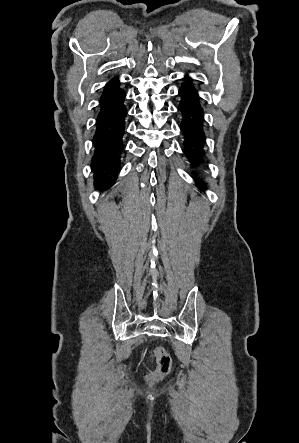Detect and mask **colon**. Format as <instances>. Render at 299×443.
I'll return each mask as SVG.
<instances>
[{
    "instance_id": "colon-1",
    "label": "colon",
    "mask_w": 299,
    "mask_h": 443,
    "mask_svg": "<svg viewBox=\"0 0 299 443\" xmlns=\"http://www.w3.org/2000/svg\"><path fill=\"white\" fill-rule=\"evenodd\" d=\"M153 357L156 360L157 367L147 376L150 382H156L165 378L172 366L171 357L163 347L155 348L153 350Z\"/></svg>"
}]
</instances>
